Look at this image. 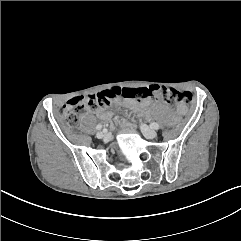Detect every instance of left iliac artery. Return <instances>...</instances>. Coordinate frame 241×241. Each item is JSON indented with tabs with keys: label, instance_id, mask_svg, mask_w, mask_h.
<instances>
[{
	"label": "left iliac artery",
	"instance_id": "1",
	"mask_svg": "<svg viewBox=\"0 0 241 241\" xmlns=\"http://www.w3.org/2000/svg\"><path fill=\"white\" fill-rule=\"evenodd\" d=\"M151 127L154 128L155 130H158L160 128L159 124L155 122L151 124Z\"/></svg>",
	"mask_w": 241,
	"mask_h": 241
}]
</instances>
